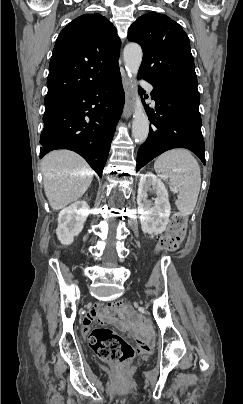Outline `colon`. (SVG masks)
<instances>
[{
	"mask_svg": "<svg viewBox=\"0 0 243 404\" xmlns=\"http://www.w3.org/2000/svg\"><path fill=\"white\" fill-rule=\"evenodd\" d=\"M187 218L182 213H176L170 221L166 233L157 244L158 252H173L180 246L186 232ZM108 306L123 315H131L132 309L120 300L110 301ZM90 343L98 356L106 361L125 364L135 354L133 346L121 335L106 327L92 331ZM152 348L150 339L137 340V352L147 354Z\"/></svg>",
	"mask_w": 243,
	"mask_h": 404,
	"instance_id": "colon-1",
	"label": "colon"
}]
</instances>
